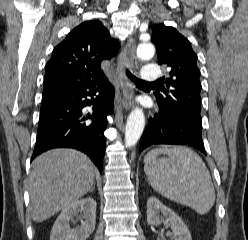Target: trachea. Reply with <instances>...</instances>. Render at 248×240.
I'll list each match as a JSON object with an SVG mask.
<instances>
[{
	"label": "trachea",
	"instance_id": "1",
	"mask_svg": "<svg viewBox=\"0 0 248 240\" xmlns=\"http://www.w3.org/2000/svg\"><path fill=\"white\" fill-rule=\"evenodd\" d=\"M126 74L136 84H154V83H156V82H151V83L144 82L141 79H138L137 77H135L134 75H132L128 69L126 70Z\"/></svg>",
	"mask_w": 248,
	"mask_h": 240
}]
</instances>
